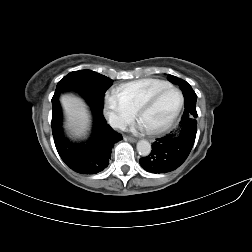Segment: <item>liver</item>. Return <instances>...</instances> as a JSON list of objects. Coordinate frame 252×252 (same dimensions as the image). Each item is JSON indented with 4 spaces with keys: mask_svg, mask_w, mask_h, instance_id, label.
<instances>
[{
    "mask_svg": "<svg viewBox=\"0 0 252 252\" xmlns=\"http://www.w3.org/2000/svg\"><path fill=\"white\" fill-rule=\"evenodd\" d=\"M68 129L77 136L85 134L89 127V113L84 101L72 94L61 97Z\"/></svg>",
    "mask_w": 252,
    "mask_h": 252,
    "instance_id": "6515ba94",
    "label": "liver"
}]
</instances>
